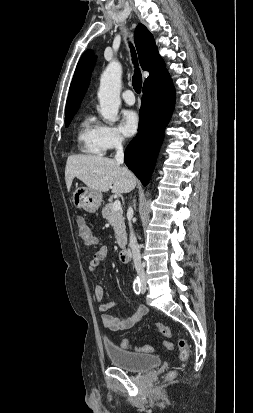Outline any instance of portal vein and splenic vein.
I'll list each match as a JSON object with an SVG mask.
<instances>
[{
  "label": "portal vein and splenic vein",
  "instance_id": "obj_1",
  "mask_svg": "<svg viewBox=\"0 0 253 413\" xmlns=\"http://www.w3.org/2000/svg\"><path fill=\"white\" fill-rule=\"evenodd\" d=\"M121 209V202L120 200H115L114 204H113V211H119Z\"/></svg>",
  "mask_w": 253,
  "mask_h": 413
}]
</instances>
